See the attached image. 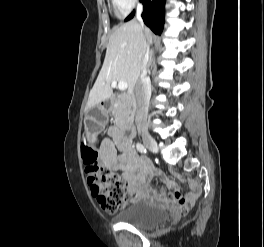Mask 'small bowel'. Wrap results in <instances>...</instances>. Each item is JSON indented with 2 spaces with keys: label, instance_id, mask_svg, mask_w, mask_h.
Wrapping results in <instances>:
<instances>
[{
  "label": "small bowel",
  "instance_id": "1",
  "mask_svg": "<svg viewBox=\"0 0 264 247\" xmlns=\"http://www.w3.org/2000/svg\"><path fill=\"white\" fill-rule=\"evenodd\" d=\"M98 153L100 163L105 169L123 172L128 189L136 198L146 197L165 205H174L179 201L198 197L200 186L196 181L187 180V191L182 192L163 173L156 171L146 158L135 152L131 138L117 126L108 129V138L103 140ZM153 177L159 178L168 189L160 194L151 191L147 181Z\"/></svg>",
  "mask_w": 264,
  "mask_h": 247
}]
</instances>
